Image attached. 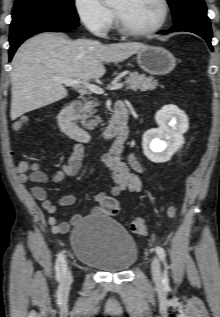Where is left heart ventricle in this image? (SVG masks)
<instances>
[{
    "mask_svg": "<svg viewBox=\"0 0 220 317\" xmlns=\"http://www.w3.org/2000/svg\"><path fill=\"white\" fill-rule=\"evenodd\" d=\"M112 8L125 25L135 30L153 27L162 16L159 0H114Z\"/></svg>",
    "mask_w": 220,
    "mask_h": 317,
    "instance_id": "b2bd125f",
    "label": "left heart ventricle"
}]
</instances>
